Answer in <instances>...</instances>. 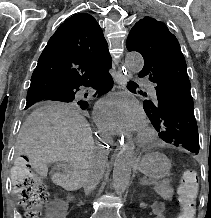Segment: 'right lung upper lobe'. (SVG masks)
I'll use <instances>...</instances> for the list:
<instances>
[{
	"label": "right lung upper lobe",
	"mask_w": 211,
	"mask_h": 218,
	"mask_svg": "<svg viewBox=\"0 0 211 218\" xmlns=\"http://www.w3.org/2000/svg\"><path fill=\"white\" fill-rule=\"evenodd\" d=\"M110 63L108 45L95 18L76 14L56 30L40 55L27 101L62 92Z\"/></svg>",
	"instance_id": "1"
}]
</instances>
